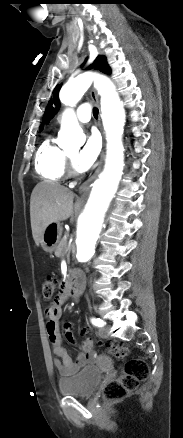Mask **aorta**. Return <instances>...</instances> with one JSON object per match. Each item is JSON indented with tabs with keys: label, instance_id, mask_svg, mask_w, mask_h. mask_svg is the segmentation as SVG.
I'll return each mask as SVG.
<instances>
[{
	"label": "aorta",
	"instance_id": "aorta-1",
	"mask_svg": "<svg viewBox=\"0 0 183 438\" xmlns=\"http://www.w3.org/2000/svg\"><path fill=\"white\" fill-rule=\"evenodd\" d=\"M94 79L101 94V116L107 133L108 151L105 169L99 179L94 182L85 207L77 219L76 259L79 263L89 262L95 254V245L104 230L124 165V148L121 138L125 123V110L113 83L105 77L83 73L69 79L63 85L59 94L60 100L67 106L75 105ZM80 132L81 128L74 111L65 110L58 134V145L65 149Z\"/></svg>",
	"mask_w": 183,
	"mask_h": 438
}]
</instances>
